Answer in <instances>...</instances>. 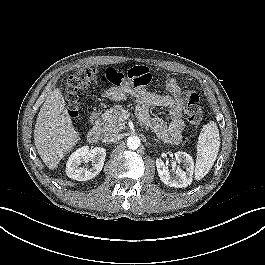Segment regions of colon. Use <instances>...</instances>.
Instances as JSON below:
<instances>
[{"label": "colon", "instance_id": "obj_1", "mask_svg": "<svg viewBox=\"0 0 265 265\" xmlns=\"http://www.w3.org/2000/svg\"><path fill=\"white\" fill-rule=\"evenodd\" d=\"M132 80L137 84H145L146 81L139 78L131 70L123 73L115 68H108L105 72H99L94 68H83L72 74L66 84V100L68 103V111L72 117L78 115L80 102V93L94 83H110L116 86L122 85L124 82ZM186 117L193 126L201 125L203 121V111L198 94L192 93L187 102Z\"/></svg>", "mask_w": 265, "mask_h": 265}]
</instances>
